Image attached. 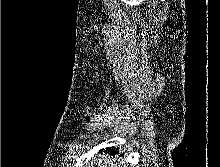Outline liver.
Returning <instances> with one entry per match:
<instances>
[{
    "mask_svg": "<svg viewBox=\"0 0 220 167\" xmlns=\"http://www.w3.org/2000/svg\"><path fill=\"white\" fill-rule=\"evenodd\" d=\"M90 163L89 167H123L119 157L111 158L108 155H99L97 159L93 158Z\"/></svg>",
    "mask_w": 220,
    "mask_h": 167,
    "instance_id": "6515ba94",
    "label": "liver"
}]
</instances>
